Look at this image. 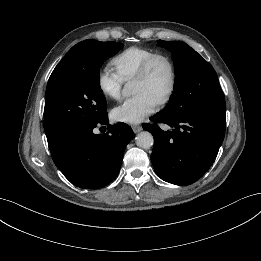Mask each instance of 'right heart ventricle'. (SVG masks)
Listing matches in <instances>:
<instances>
[{
    "label": "right heart ventricle",
    "mask_w": 261,
    "mask_h": 261,
    "mask_svg": "<svg viewBox=\"0 0 261 261\" xmlns=\"http://www.w3.org/2000/svg\"><path fill=\"white\" fill-rule=\"evenodd\" d=\"M157 52L151 48L132 46L117 54L111 61L123 81L134 78L143 64Z\"/></svg>",
    "instance_id": "obj_1"
}]
</instances>
